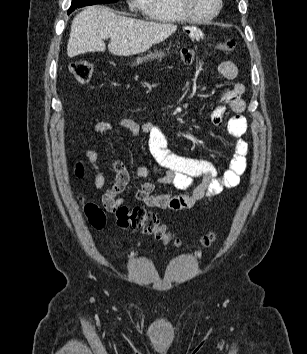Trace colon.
<instances>
[{
    "label": "colon",
    "instance_id": "colon-1",
    "mask_svg": "<svg viewBox=\"0 0 307 354\" xmlns=\"http://www.w3.org/2000/svg\"><path fill=\"white\" fill-rule=\"evenodd\" d=\"M235 43L231 40L218 43L214 48L230 52L234 49ZM180 59L187 64L194 62L197 59V54L192 49H181L179 51ZM70 75L81 84H87L91 81L93 75V66L87 60H79L72 62L69 65ZM81 168L78 169V174H81ZM106 208V207H105ZM85 214L90 224L100 229L104 226L106 217L104 211L94 202H86L84 204ZM110 211H113L116 216V222L119 227L133 228L134 230L141 231L144 234L151 235L155 239L163 242L164 244L172 243L175 246L179 245V240L174 238L166 227L160 223L157 216L147 211L144 207L137 206L129 208L126 206H113ZM214 241L213 234L204 235L201 238V244L204 247L210 246Z\"/></svg>",
    "mask_w": 307,
    "mask_h": 354
}]
</instances>
